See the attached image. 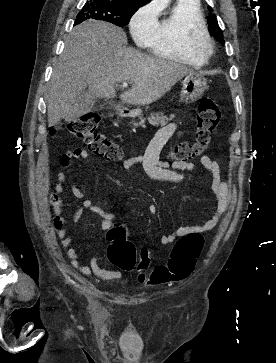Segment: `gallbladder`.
Returning a JSON list of instances; mask_svg holds the SVG:
<instances>
[{
  "label": "gallbladder",
  "mask_w": 276,
  "mask_h": 363,
  "mask_svg": "<svg viewBox=\"0 0 276 363\" xmlns=\"http://www.w3.org/2000/svg\"><path fill=\"white\" fill-rule=\"evenodd\" d=\"M98 99L89 94L87 90H83L75 99L71 113L66 117V120L72 121L82 115L90 112L97 104Z\"/></svg>",
  "instance_id": "obj_1"
}]
</instances>
